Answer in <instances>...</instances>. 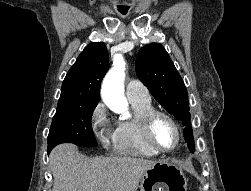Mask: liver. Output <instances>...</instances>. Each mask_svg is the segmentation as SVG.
I'll use <instances>...</instances> for the list:
<instances>
[{
  "instance_id": "1",
  "label": "liver",
  "mask_w": 251,
  "mask_h": 191,
  "mask_svg": "<svg viewBox=\"0 0 251 191\" xmlns=\"http://www.w3.org/2000/svg\"><path fill=\"white\" fill-rule=\"evenodd\" d=\"M76 151L74 143H60L52 149V191H137L144 171L156 163L129 155L81 159Z\"/></svg>"
}]
</instances>
